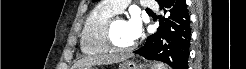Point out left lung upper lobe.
I'll return each mask as SVG.
<instances>
[{"instance_id": "obj_1", "label": "left lung upper lobe", "mask_w": 246, "mask_h": 69, "mask_svg": "<svg viewBox=\"0 0 246 69\" xmlns=\"http://www.w3.org/2000/svg\"><path fill=\"white\" fill-rule=\"evenodd\" d=\"M93 1L95 2V1H98V0H93ZM156 1L158 2V1H160V0H156Z\"/></svg>"}]
</instances>
